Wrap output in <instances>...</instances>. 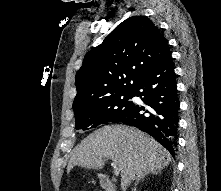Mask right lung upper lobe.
<instances>
[{"instance_id":"1","label":"right lung upper lobe","mask_w":221,"mask_h":191,"mask_svg":"<svg viewBox=\"0 0 221 191\" xmlns=\"http://www.w3.org/2000/svg\"><path fill=\"white\" fill-rule=\"evenodd\" d=\"M169 52L166 39L149 18L126 19L85 56L75 78L74 112L133 91Z\"/></svg>"}]
</instances>
